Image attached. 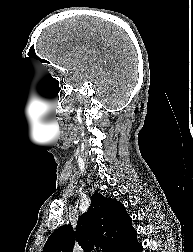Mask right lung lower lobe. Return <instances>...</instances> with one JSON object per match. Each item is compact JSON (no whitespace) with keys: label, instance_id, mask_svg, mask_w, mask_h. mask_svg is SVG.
Wrapping results in <instances>:
<instances>
[{"label":"right lung lower lobe","instance_id":"98d812e1","mask_svg":"<svg viewBox=\"0 0 193 252\" xmlns=\"http://www.w3.org/2000/svg\"><path fill=\"white\" fill-rule=\"evenodd\" d=\"M116 252H142V245L137 241L136 231Z\"/></svg>","mask_w":193,"mask_h":252}]
</instances>
